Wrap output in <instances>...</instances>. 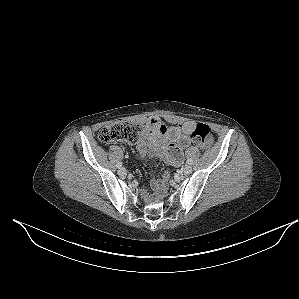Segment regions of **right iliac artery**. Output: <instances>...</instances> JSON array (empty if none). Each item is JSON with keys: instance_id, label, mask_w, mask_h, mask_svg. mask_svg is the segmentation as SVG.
<instances>
[{"instance_id": "1", "label": "right iliac artery", "mask_w": 299, "mask_h": 299, "mask_svg": "<svg viewBox=\"0 0 299 299\" xmlns=\"http://www.w3.org/2000/svg\"><path fill=\"white\" fill-rule=\"evenodd\" d=\"M118 168H120L122 166V162H118V164L116 165Z\"/></svg>"}]
</instances>
